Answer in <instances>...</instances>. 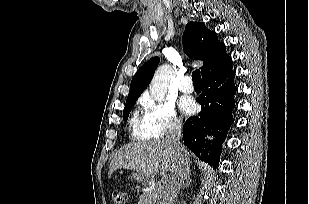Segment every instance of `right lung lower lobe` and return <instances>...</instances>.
Segmentation results:
<instances>
[{"label":"right lung lower lobe","instance_id":"obj_1","mask_svg":"<svg viewBox=\"0 0 309 204\" xmlns=\"http://www.w3.org/2000/svg\"><path fill=\"white\" fill-rule=\"evenodd\" d=\"M235 73L231 65L202 79L203 92L198 98L201 112L187 119L183 126L185 145L201 160L217 165L221 144L233 123ZM207 135H214L212 141Z\"/></svg>","mask_w":309,"mask_h":204}]
</instances>
